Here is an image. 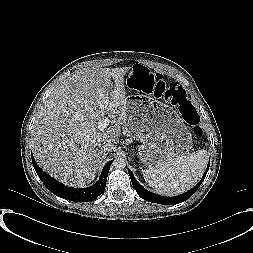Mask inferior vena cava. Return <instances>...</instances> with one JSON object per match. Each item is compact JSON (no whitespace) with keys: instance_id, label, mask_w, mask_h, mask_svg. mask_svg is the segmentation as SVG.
Segmentation results:
<instances>
[{"instance_id":"inferior-vena-cava-1","label":"inferior vena cava","mask_w":253,"mask_h":253,"mask_svg":"<svg viewBox=\"0 0 253 253\" xmlns=\"http://www.w3.org/2000/svg\"><path fill=\"white\" fill-rule=\"evenodd\" d=\"M109 150H110L109 145H108V144H105V145H104V151H109Z\"/></svg>"}]
</instances>
